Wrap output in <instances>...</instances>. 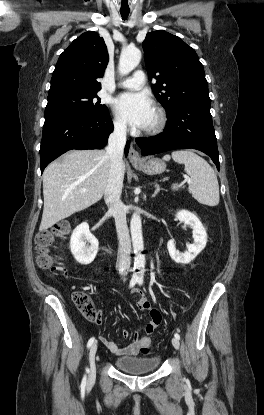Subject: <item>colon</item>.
Segmentation results:
<instances>
[{"mask_svg":"<svg viewBox=\"0 0 264 415\" xmlns=\"http://www.w3.org/2000/svg\"><path fill=\"white\" fill-rule=\"evenodd\" d=\"M71 229L69 222L59 223L50 231L39 232L36 236L37 262L39 266L47 271L54 272L58 264V259L54 256L53 250L60 238L66 236ZM72 300L77 309L90 321H100V314L95 308L91 297L83 291H75ZM139 340L145 347L147 353L154 350L155 346L151 338L147 335H139Z\"/></svg>","mask_w":264,"mask_h":415,"instance_id":"obj_1","label":"colon"}]
</instances>
